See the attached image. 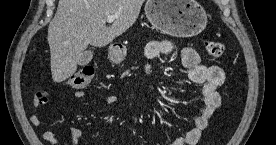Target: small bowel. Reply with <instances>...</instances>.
I'll return each instance as SVG.
<instances>
[{"mask_svg": "<svg viewBox=\"0 0 276 145\" xmlns=\"http://www.w3.org/2000/svg\"><path fill=\"white\" fill-rule=\"evenodd\" d=\"M173 51V45L170 41H152L146 48V57L148 60H153L160 55H167ZM182 62L188 70L189 79L196 84H202V98L199 105L198 116L196 117L193 126L186 132L184 136L177 138L172 145H196L207 128L215 111L221 105V97L218 93L219 87L225 80V73L223 69L217 65H204L200 61L199 54L193 48H185L182 51ZM146 72L150 73V66H146ZM76 98H83L85 93L83 91H76L74 93ZM120 99L119 95L110 94L105 96L104 103L106 105H113ZM35 107H39L36 95L33 99ZM30 122L37 127L41 124L38 115H32ZM85 132L82 128L73 127L70 129L71 145H79V141L83 138ZM43 137L51 144L58 145L59 140L50 130L44 132Z\"/></svg>", "mask_w": 276, "mask_h": 145, "instance_id": "obj_1", "label": "small bowel"}]
</instances>
